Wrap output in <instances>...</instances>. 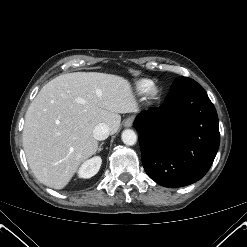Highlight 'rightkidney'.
Returning <instances> with one entry per match:
<instances>
[{"label":"right kidney","instance_id":"right-kidney-1","mask_svg":"<svg viewBox=\"0 0 247 247\" xmlns=\"http://www.w3.org/2000/svg\"><path fill=\"white\" fill-rule=\"evenodd\" d=\"M102 164V159L99 156H95L89 160H86L81 167L79 168L78 171V176L80 178H91L100 169V166Z\"/></svg>","mask_w":247,"mask_h":247}]
</instances>
